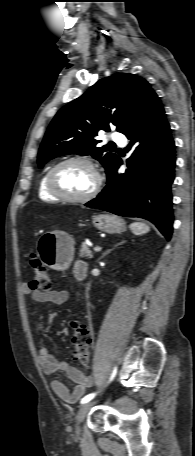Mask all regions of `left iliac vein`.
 I'll list each match as a JSON object with an SVG mask.
<instances>
[{"instance_id": "left-iliac-vein-1", "label": "left iliac vein", "mask_w": 195, "mask_h": 456, "mask_svg": "<svg viewBox=\"0 0 195 456\" xmlns=\"http://www.w3.org/2000/svg\"><path fill=\"white\" fill-rule=\"evenodd\" d=\"M94 402H87L84 403L80 409L77 412V415L75 417L76 425H75V433L77 436L80 435L81 433V423L83 422L84 418L86 417V414L90 410V408L93 406Z\"/></svg>"}]
</instances>
